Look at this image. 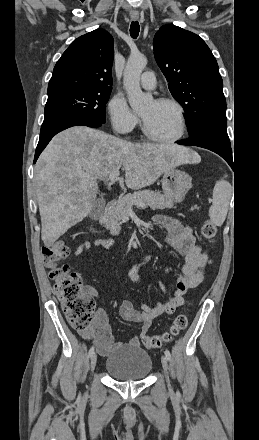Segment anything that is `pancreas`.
I'll list each match as a JSON object with an SVG mask.
<instances>
[{"label":"pancreas","mask_w":259,"mask_h":440,"mask_svg":"<svg viewBox=\"0 0 259 440\" xmlns=\"http://www.w3.org/2000/svg\"><path fill=\"white\" fill-rule=\"evenodd\" d=\"M137 202L150 207L152 210L174 207L173 201L160 192L152 190L137 191L123 196L113 208L107 210L102 221L104 227L110 230L112 235H118L121 229L120 221L127 216L128 210L132 209V206L139 207ZM194 209H199V207L194 206L191 208L192 211Z\"/></svg>","instance_id":"pancreas-1"}]
</instances>
